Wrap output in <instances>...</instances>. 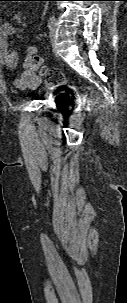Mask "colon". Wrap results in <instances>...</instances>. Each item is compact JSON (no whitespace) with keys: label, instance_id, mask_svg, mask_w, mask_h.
Returning <instances> with one entry per match:
<instances>
[{"label":"colon","instance_id":"5ec220e1","mask_svg":"<svg viewBox=\"0 0 127 303\" xmlns=\"http://www.w3.org/2000/svg\"><path fill=\"white\" fill-rule=\"evenodd\" d=\"M32 68L38 71L50 86H63L65 78L62 72L57 68H47L44 65V60L39 55H33L31 59Z\"/></svg>","mask_w":127,"mask_h":303}]
</instances>
